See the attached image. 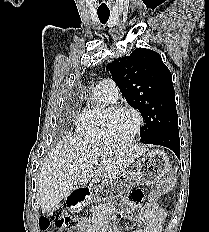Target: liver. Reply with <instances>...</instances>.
<instances>
[{
    "mask_svg": "<svg viewBox=\"0 0 209 232\" xmlns=\"http://www.w3.org/2000/svg\"><path fill=\"white\" fill-rule=\"evenodd\" d=\"M146 151V147L138 144H104L78 137L61 141L40 169L37 183L42 213L51 211L75 188L90 180H115ZM95 160L97 165H93Z\"/></svg>",
    "mask_w": 209,
    "mask_h": 232,
    "instance_id": "obj_1",
    "label": "liver"
}]
</instances>
